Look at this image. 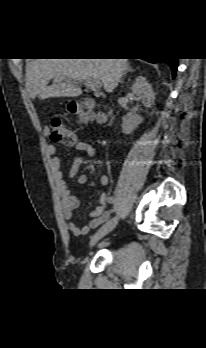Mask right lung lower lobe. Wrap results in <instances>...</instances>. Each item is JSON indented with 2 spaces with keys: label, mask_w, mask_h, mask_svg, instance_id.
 I'll return each mask as SVG.
<instances>
[{
  "label": "right lung lower lobe",
  "mask_w": 206,
  "mask_h": 348,
  "mask_svg": "<svg viewBox=\"0 0 206 348\" xmlns=\"http://www.w3.org/2000/svg\"><path fill=\"white\" fill-rule=\"evenodd\" d=\"M149 62L152 63H156V62H160V61H164L165 63L169 64V66L172 69V73H173V78L176 74L177 71V58H167V59H146Z\"/></svg>",
  "instance_id": "98d812e1"
}]
</instances>
